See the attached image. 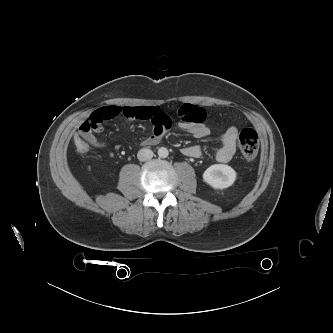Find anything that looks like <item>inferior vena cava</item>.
I'll return each mask as SVG.
<instances>
[{"instance_id":"1","label":"inferior vena cava","mask_w":333,"mask_h":333,"mask_svg":"<svg viewBox=\"0 0 333 333\" xmlns=\"http://www.w3.org/2000/svg\"><path fill=\"white\" fill-rule=\"evenodd\" d=\"M153 157V151L148 148L140 149L137 153V158L139 161H147Z\"/></svg>"}]
</instances>
